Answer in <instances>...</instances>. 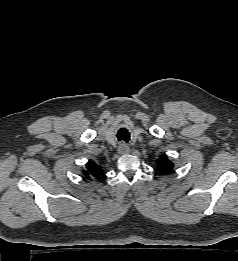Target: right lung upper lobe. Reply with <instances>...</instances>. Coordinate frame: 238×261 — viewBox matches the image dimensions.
<instances>
[{
	"label": "right lung upper lobe",
	"instance_id": "right-lung-upper-lobe-1",
	"mask_svg": "<svg viewBox=\"0 0 238 261\" xmlns=\"http://www.w3.org/2000/svg\"><path fill=\"white\" fill-rule=\"evenodd\" d=\"M83 173L86 176H90L91 178L100 179V180L105 177L101 166H99L98 164L92 161L87 162L86 170H84Z\"/></svg>",
	"mask_w": 238,
	"mask_h": 261
}]
</instances>
